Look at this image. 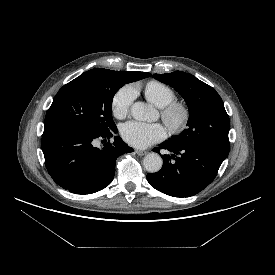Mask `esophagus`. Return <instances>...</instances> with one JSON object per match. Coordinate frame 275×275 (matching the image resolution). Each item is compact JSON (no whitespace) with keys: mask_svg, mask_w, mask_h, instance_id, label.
Segmentation results:
<instances>
[{"mask_svg":"<svg viewBox=\"0 0 275 275\" xmlns=\"http://www.w3.org/2000/svg\"><path fill=\"white\" fill-rule=\"evenodd\" d=\"M135 153H136L137 155H139V156H144V155L147 154L146 151H142V150H135Z\"/></svg>","mask_w":275,"mask_h":275,"instance_id":"1","label":"esophagus"}]
</instances>
